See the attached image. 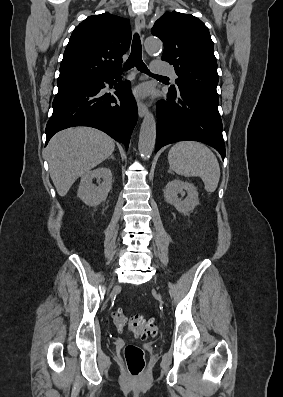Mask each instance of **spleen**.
Wrapping results in <instances>:
<instances>
[{"mask_svg": "<svg viewBox=\"0 0 283 397\" xmlns=\"http://www.w3.org/2000/svg\"><path fill=\"white\" fill-rule=\"evenodd\" d=\"M170 169L184 177H200L205 190L213 193L219 183L220 167L214 153L204 144L194 141L178 142L168 153Z\"/></svg>", "mask_w": 283, "mask_h": 397, "instance_id": "spleen-1", "label": "spleen"}]
</instances>
